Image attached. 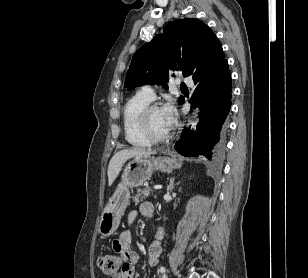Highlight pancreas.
<instances>
[{"label":"pancreas","mask_w":308,"mask_h":278,"mask_svg":"<svg viewBox=\"0 0 308 278\" xmlns=\"http://www.w3.org/2000/svg\"><path fill=\"white\" fill-rule=\"evenodd\" d=\"M150 191H151V189L149 187H147V186L145 188H143V189H139L137 191V194L134 197L135 204L139 203V198L140 197H141V199H145L146 197H148L149 194H150Z\"/></svg>","instance_id":"obj_1"}]
</instances>
